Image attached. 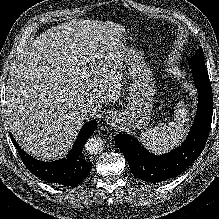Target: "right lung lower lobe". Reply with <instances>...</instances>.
<instances>
[{"label": "right lung lower lobe", "mask_w": 219, "mask_h": 219, "mask_svg": "<svg viewBox=\"0 0 219 219\" xmlns=\"http://www.w3.org/2000/svg\"><path fill=\"white\" fill-rule=\"evenodd\" d=\"M96 128L97 122L95 120L86 122L67 156L52 162H43L31 157L19 147L13 136L9 134L23 163L35 176L51 183L77 186L89 175L92 168V163L83 157L82 149L85 141Z\"/></svg>", "instance_id": "1"}]
</instances>
